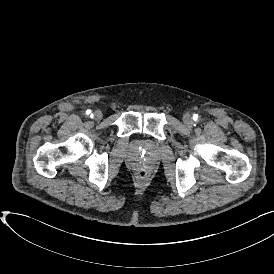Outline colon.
I'll list each match as a JSON object with an SVG mask.
<instances>
[{"label": "colon", "instance_id": "1", "mask_svg": "<svg viewBox=\"0 0 274 274\" xmlns=\"http://www.w3.org/2000/svg\"><path fill=\"white\" fill-rule=\"evenodd\" d=\"M138 176L141 179H146L148 177V173L147 172H139Z\"/></svg>", "mask_w": 274, "mask_h": 274}]
</instances>
